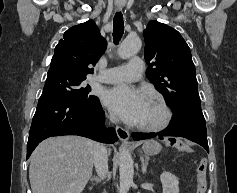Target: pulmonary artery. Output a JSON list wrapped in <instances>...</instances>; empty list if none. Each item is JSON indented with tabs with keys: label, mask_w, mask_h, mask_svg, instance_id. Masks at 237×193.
Here are the masks:
<instances>
[{
	"label": "pulmonary artery",
	"mask_w": 237,
	"mask_h": 193,
	"mask_svg": "<svg viewBox=\"0 0 237 193\" xmlns=\"http://www.w3.org/2000/svg\"><path fill=\"white\" fill-rule=\"evenodd\" d=\"M143 72V61L140 58L132 59L127 65L109 68L96 76L104 83L122 84L127 81L138 80Z\"/></svg>",
	"instance_id": "pulmonary-artery-1"
}]
</instances>
